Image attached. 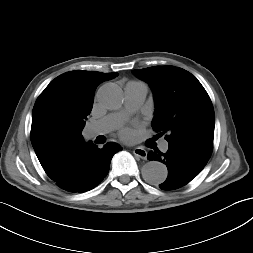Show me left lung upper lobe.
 I'll return each mask as SVG.
<instances>
[{"mask_svg":"<svg viewBox=\"0 0 253 253\" xmlns=\"http://www.w3.org/2000/svg\"><path fill=\"white\" fill-rule=\"evenodd\" d=\"M154 94L152 127L168 143H188L212 151L215 116L204 87L188 71L174 66L134 70Z\"/></svg>","mask_w":253,"mask_h":253,"instance_id":"left-lung-upper-lobe-1","label":"left lung upper lobe"}]
</instances>
